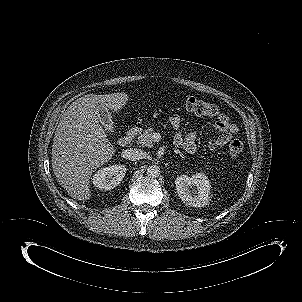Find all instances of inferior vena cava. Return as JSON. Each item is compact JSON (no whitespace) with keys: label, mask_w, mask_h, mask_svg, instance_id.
<instances>
[{"label":"inferior vena cava","mask_w":302,"mask_h":302,"mask_svg":"<svg viewBox=\"0 0 302 302\" xmlns=\"http://www.w3.org/2000/svg\"><path fill=\"white\" fill-rule=\"evenodd\" d=\"M122 153L124 158L131 161L143 159L145 156V153L141 149L137 148H129L124 150Z\"/></svg>","instance_id":"inferior-vena-cava-1"}]
</instances>
